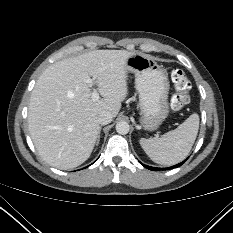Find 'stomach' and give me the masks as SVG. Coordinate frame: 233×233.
<instances>
[{"label": "stomach", "instance_id": "obj_1", "mask_svg": "<svg viewBox=\"0 0 233 233\" xmlns=\"http://www.w3.org/2000/svg\"><path fill=\"white\" fill-rule=\"evenodd\" d=\"M126 68L135 75L140 123L145 130H156L169 114L167 72L152 57L139 53L128 57Z\"/></svg>", "mask_w": 233, "mask_h": 233}]
</instances>
